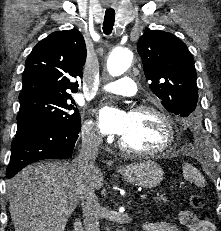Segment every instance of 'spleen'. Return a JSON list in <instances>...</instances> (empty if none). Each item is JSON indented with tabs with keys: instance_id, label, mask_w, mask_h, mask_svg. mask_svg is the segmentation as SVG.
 <instances>
[{
	"instance_id": "1",
	"label": "spleen",
	"mask_w": 221,
	"mask_h": 231,
	"mask_svg": "<svg viewBox=\"0 0 221 231\" xmlns=\"http://www.w3.org/2000/svg\"><path fill=\"white\" fill-rule=\"evenodd\" d=\"M183 175L186 180L194 182L196 185L201 187L205 185L204 178L201 176L198 170L189 163L183 165Z\"/></svg>"
}]
</instances>
